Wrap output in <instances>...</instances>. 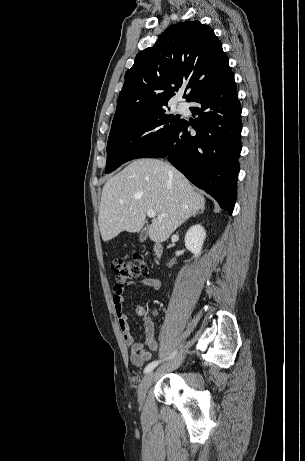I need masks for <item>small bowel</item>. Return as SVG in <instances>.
Segmentation results:
<instances>
[{"label":"small bowel","instance_id":"1","mask_svg":"<svg viewBox=\"0 0 305 461\" xmlns=\"http://www.w3.org/2000/svg\"><path fill=\"white\" fill-rule=\"evenodd\" d=\"M126 286H144L153 290H158L160 287V281L155 277H143L128 284L116 283L113 286L112 301L117 315L119 327L122 331L126 345L130 349L131 363L136 367H142L145 362L152 358V352H156L158 350V324L155 318V314L144 315L142 318L145 333L144 341L138 342L134 338L130 331V325L127 316L123 311L124 291Z\"/></svg>","mask_w":305,"mask_h":461}]
</instances>
